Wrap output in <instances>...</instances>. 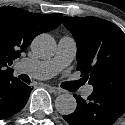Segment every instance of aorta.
<instances>
[{"mask_svg": "<svg viewBox=\"0 0 125 125\" xmlns=\"http://www.w3.org/2000/svg\"><path fill=\"white\" fill-rule=\"evenodd\" d=\"M31 48L39 58L45 59L54 55L56 45L50 35L41 34L33 40ZM76 106V99L70 94H61L55 100L56 110L62 115L72 114Z\"/></svg>", "mask_w": 125, "mask_h": 125, "instance_id": "762f6f07", "label": "aorta"}]
</instances>
